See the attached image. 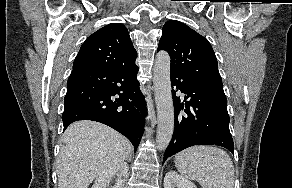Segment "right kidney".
I'll return each mask as SVG.
<instances>
[{
	"label": "right kidney",
	"mask_w": 292,
	"mask_h": 188,
	"mask_svg": "<svg viewBox=\"0 0 292 188\" xmlns=\"http://www.w3.org/2000/svg\"><path fill=\"white\" fill-rule=\"evenodd\" d=\"M128 169L129 166L126 162H120L113 165L97 176L95 183L91 188H107L114 177H116V183L111 188H123Z\"/></svg>",
	"instance_id": "right-kidney-1"
}]
</instances>
